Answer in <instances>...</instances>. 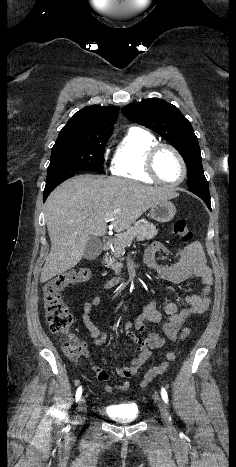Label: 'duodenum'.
<instances>
[{"label": "duodenum", "mask_w": 236, "mask_h": 467, "mask_svg": "<svg viewBox=\"0 0 236 467\" xmlns=\"http://www.w3.org/2000/svg\"><path fill=\"white\" fill-rule=\"evenodd\" d=\"M102 248L104 251H108L110 248V239L109 237H104L102 240ZM121 281V277H112L106 280L105 288H111L117 285Z\"/></svg>", "instance_id": "obj_1"}]
</instances>
